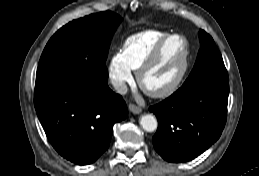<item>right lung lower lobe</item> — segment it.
Returning a JSON list of instances; mask_svg holds the SVG:
<instances>
[{"label": "right lung lower lobe", "mask_w": 259, "mask_h": 176, "mask_svg": "<svg viewBox=\"0 0 259 176\" xmlns=\"http://www.w3.org/2000/svg\"><path fill=\"white\" fill-rule=\"evenodd\" d=\"M107 81L105 62L82 56L37 68V116L55 150L75 164L95 162L109 147L113 125L128 116L124 100Z\"/></svg>", "instance_id": "98d812e1"}]
</instances>
